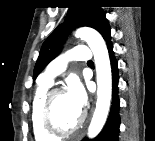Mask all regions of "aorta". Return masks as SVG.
I'll return each mask as SVG.
<instances>
[{
  "instance_id": "762f6f07",
  "label": "aorta",
  "mask_w": 155,
  "mask_h": 141,
  "mask_svg": "<svg viewBox=\"0 0 155 141\" xmlns=\"http://www.w3.org/2000/svg\"><path fill=\"white\" fill-rule=\"evenodd\" d=\"M75 36L85 40L93 52L97 73V102L88 137H96L102 130L110 109L112 95V75L108 50L102 36L92 28L83 27L76 31Z\"/></svg>"
}]
</instances>
